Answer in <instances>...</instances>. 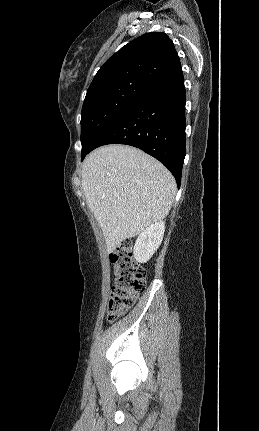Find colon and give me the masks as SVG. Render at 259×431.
<instances>
[{"label": "colon", "instance_id": "obj_1", "mask_svg": "<svg viewBox=\"0 0 259 431\" xmlns=\"http://www.w3.org/2000/svg\"><path fill=\"white\" fill-rule=\"evenodd\" d=\"M110 261L114 279L107 305V319L113 322L130 309L145 290L146 272L135 261L130 240L123 241L110 254Z\"/></svg>", "mask_w": 259, "mask_h": 431}]
</instances>
